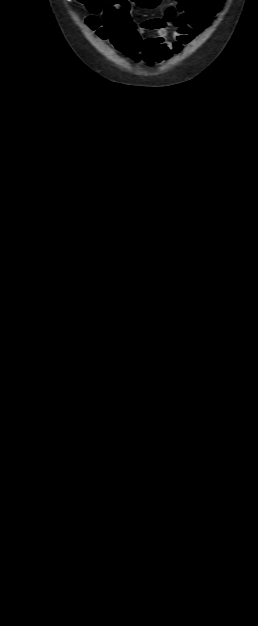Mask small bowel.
<instances>
[{"label": "small bowel", "instance_id": "small-bowel-1", "mask_svg": "<svg viewBox=\"0 0 258 626\" xmlns=\"http://www.w3.org/2000/svg\"><path fill=\"white\" fill-rule=\"evenodd\" d=\"M224 3L225 0H179L166 7L161 17L147 19L138 30L135 27L131 30L133 23L124 10L123 1L109 0L102 18L93 16L87 23L125 55L141 58L147 64L161 63L202 33ZM146 31H154L156 35L143 37L142 33Z\"/></svg>", "mask_w": 258, "mask_h": 626}]
</instances>
